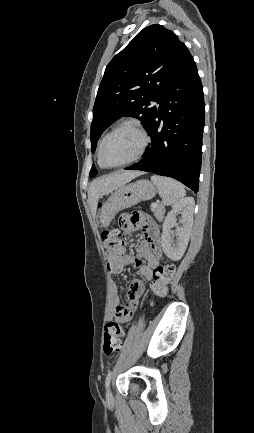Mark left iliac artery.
I'll return each mask as SVG.
<instances>
[{"label":"left iliac artery","mask_w":254,"mask_h":433,"mask_svg":"<svg viewBox=\"0 0 254 433\" xmlns=\"http://www.w3.org/2000/svg\"><path fill=\"white\" fill-rule=\"evenodd\" d=\"M111 377H112V371H110V372L107 374V377H106V380H105V386H106V388L109 387V384H110V381H111Z\"/></svg>","instance_id":"obj_1"}]
</instances>
